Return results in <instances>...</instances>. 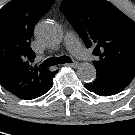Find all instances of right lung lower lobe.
Instances as JSON below:
<instances>
[{
	"mask_svg": "<svg viewBox=\"0 0 135 135\" xmlns=\"http://www.w3.org/2000/svg\"><path fill=\"white\" fill-rule=\"evenodd\" d=\"M51 87H52V81L48 85L43 86V87H41L40 89H38L34 92L24 94V95H21V96H17V97L20 98V99H26V100L35 99L37 97H40V96L44 95L46 92H48L50 90Z\"/></svg>",
	"mask_w": 135,
	"mask_h": 135,
	"instance_id": "obj_1",
	"label": "right lung lower lobe"
}]
</instances>
